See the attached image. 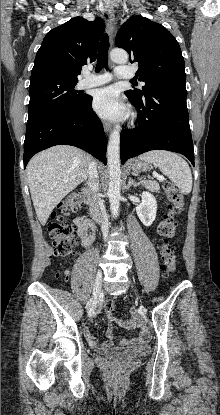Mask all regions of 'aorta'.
<instances>
[{
  "label": "aorta",
  "instance_id": "762f6f07",
  "mask_svg": "<svg viewBox=\"0 0 220 415\" xmlns=\"http://www.w3.org/2000/svg\"><path fill=\"white\" fill-rule=\"evenodd\" d=\"M113 62L125 64L128 61V53L123 49H113L110 53ZM107 164L109 171L108 198L110 209L114 217L119 214L120 190H121V168H120V131L114 129L110 136L107 146Z\"/></svg>",
  "mask_w": 220,
  "mask_h": 415
}]
</instances>
